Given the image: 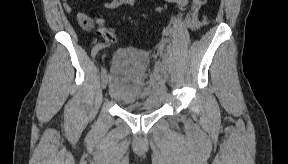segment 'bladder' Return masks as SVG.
Returning a JSON list of instances; mask_svg holds the SVG:
<instances>
[{
	"mask_svg": "<svg viewBox=\"0 0 288 164\" xmlns=\"http://www.w3.org/2000/svg\"><path fill=\"white\" fill-rule=\"evenodd\" d=\"M148 61L144 51L135 49L120 51L112 58L109 96L126 112L152 113L160 108L158 98L145 85Z\"/></svg>",
	"mask_w": 288,
	"mask_h": 164,
	"instance_id": "31cf9c89",
	"label": "bladder"
}]
</instances>
